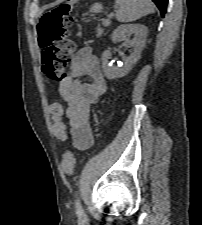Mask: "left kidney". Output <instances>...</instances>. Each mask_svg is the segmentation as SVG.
Instances as JSON below:
<instances>
[{"mask_svg":"<svg viewBox=\"0 0 202 225\" xmlns=\"http://www.w3.org/2000/svg\"><path fill=\"white\" fill-rule=\"evenodd\" d=\"M148 28L142 24H125L118 26L112 33V41H125L128 46L133 47V52L130 56L124 58V63L118 66H112L109 63L111 58L110 51H104L102 54V67L108 79L121 78L125 76L138 61L141 56V51L145 45ZM134 35L132 40L129 39Z\"/></svg>","mask_w":202,"mask_h":225,"instance_id":"left-kidney-1","label":"left kidney"}]
</instances>
